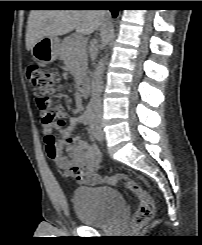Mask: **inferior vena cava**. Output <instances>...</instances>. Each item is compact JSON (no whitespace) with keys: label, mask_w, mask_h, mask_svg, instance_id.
<instances>
[{"label":"inferior vena cava","mask_w":202,"mask_h":245,"mask_svg":"<svg viewBox=\"0 0 202 245\" xmlns=\"http://www.w3.org/2000/svg\"><path fill=\"white\" fill-rule=\"evenodd\" d=\"M96 56H97L96 52L92 50L90 52L91 60L94 61L96 59ZM91 103H92L94 109L99 108V104L97 103V99L95 97L92 98Z\"/></svg>","instance_id":"inferior-vena-cava-1"}]
</instances>
